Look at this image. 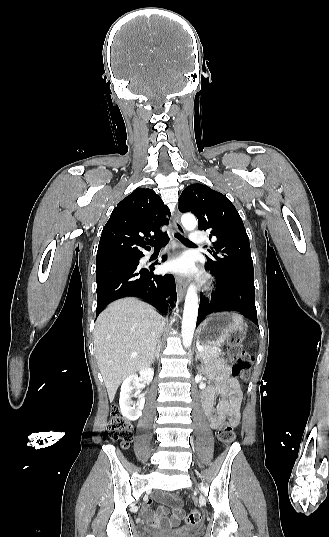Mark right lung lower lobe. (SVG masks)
Returning <instances> with one entry per match:
<instances>
[{"label":"right lung lower lobe","mask_w":329,"mask_h":537,"mask_svg":"<svg viewBox=\"0 0 329 537\" xmlns=\"http://www.w3.org/2000/svg\"><path fill=\"white\" fill-rule=\"evenodd\" d=\"M142 255L129 259L109 260L96 264L97 308L96 317L110 302L134 296L157 307L165 315L166 298L176 296L174 277L171 274L154 275V265L139 266ZM166 256L162 257V261ZM158 264V262H155Z\"/></svg>","instance_id":"1"}]
</instances>
